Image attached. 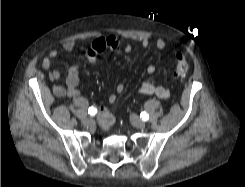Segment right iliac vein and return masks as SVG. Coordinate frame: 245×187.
Returning <instances> with one entry per match:
<instances>
[{
    "label": "right iliac vein",
    "mask_w": 245,
    "mask_h": 187,
    "mask_svg": "<svg viewBox=\"0 0 245 187\" xmlns=\"http://www.w3.org/2000/svg\"><path fill=\"white\" fill-rule=\"evenodd\" d=\"M93 123V120L91 118H84L82 120V124L85 125V126H89Z\"/></svg>",
    "instance_id": "obj_1"
}]
</instances>
